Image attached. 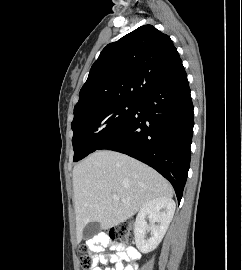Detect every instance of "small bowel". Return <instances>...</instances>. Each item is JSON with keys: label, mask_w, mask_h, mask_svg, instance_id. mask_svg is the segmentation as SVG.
Returning <instances> with one entry per match:
<instances>
[{"label": "small bowel", "mask_w": 242, "mask_h": 270, "mask_svg": "<svg viewBox=\"0 0 242 270\" xmlns=\"http://www.w3.org/2000/svg\"><path fill=\"white\" fill-rule=\"evenodd\" d=\"M89 249L92 252L100 253L104 247H109L115 253L109 256L98 254L93 258L90 270H137V260L140 252L132 246L111 241L103 234L95 236L89 241ZM126 262V263H125ZM112 264V266H109ZM106 265L105 268L102 266Z\"/></svg>", "instance_id": "obj_1"}]
</instances>
